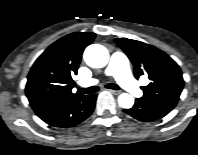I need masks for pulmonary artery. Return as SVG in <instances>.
Masks as SVG:
<instances>
[{
  "instance_id": "e3ab8cb5",
  "label": "pulmonary artery",
  "mask_w": 198,
  "mask_h": 155,
  "mask_svg": "<svg viewBox=\"0 0 198 155\" xmlns=\"http://www.w3.org/2000/svg\"><path fill=\"white\" fill-rule=\"evenodd\" d=\"M105 74L114 77L123 88L132 94L136 96L141 95V90L131 75L129 61L122 53L116 52L111 55L108 66L105 69ZM97 82V79H89L81 81L79 84L83 87H89Z\"/></svg>"
}]
</instances>
